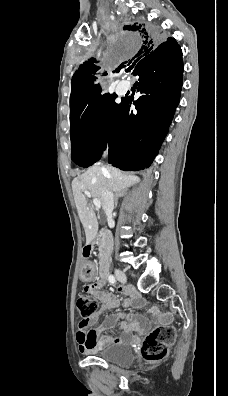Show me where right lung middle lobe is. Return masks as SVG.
Returning <instances> with one entry per match:
<instances>
[{
	"label": "right lung middle lobe",
	"mask_w": 228,
	"mask_h": 396,
	"mask_svg": "<svg viewBox=\"0 0 228 396\" xmlns=\"http://www.w3.org/2000/svg\"><path fill=\"white\" fill-rule=\"evenodd\" d=\"M116 98L115 93L104 94L84 111L70 118L71 158L79 166L89 167L101 158L120 107L114 102Z\"/></svg>",
	"instance_id": "dd1d6c3e"
}]
</instances>
